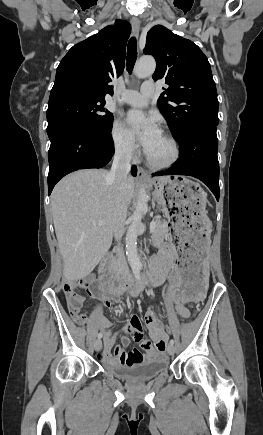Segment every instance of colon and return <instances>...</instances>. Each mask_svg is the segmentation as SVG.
<instances>
[{
  "label": "colon",
  "mask_w": 263,
  "mask_h": 435,
  "mask_svg": "<svg viewBox=\"0 0 263 435\" xmlns=\"http://www.w3.org/2000/svg\"><path fill=\"white\" fill-rule=\"evenodd\" d=\"M83 289L86 290L90 296L96 292V287L94 285L90 286L88 282L83 279L68 280L64 283V293L69 312L73 319L80 324L83 322L85 317L82 313L84 297L79 293V291ZM170 329H172V324H166L165 331L168 335L172 334ZM167 349L168 347L166 348V351Z\"/></svg>",
  "instance_id": "obj_1"
}]
</instances>
